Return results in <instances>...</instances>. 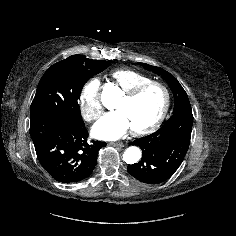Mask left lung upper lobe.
<instances>
[{
  "mask_svg": "<svg viewBox=\"0 0 236 236\" xmlns=\"http://www.w3.org/2000/svg\"><path fill=\"white\" fill-rule=\"evenodd\" d=\"M139 64L158 75H162V78L166 80L167 84L169 85L174 95V110H176L181 106H191L185 90L183 89L181 84L177 81V79L174 78L169 72L163 70L162 68L151 66L145 63H139Z\"/></svg>",
  "mask_w": 236,
  "mask_h": 236,
  "instance_id": "5c2ea615",
  "label": "left lung upper lobe"
}]
</instances>
